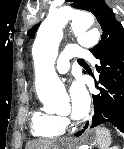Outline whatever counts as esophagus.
I'll return each instance as SVG.
<instances>
[{"label": "esophagus", "instance_id": "obj_1", "mask_svg": "<svg viewBox=\"0 0 124 149\" xmlns=\"http://www.w3.org/2000/svg\"><path fill=\"white\" fill-rule=\"evenodd\" d=\"M70 36H71V34L69 33V37ZM90 127H91V119L84 124L82 129L89 130Z\"/></svg>", "mask_w": 124, "mask_h": 149}]
</instances>
